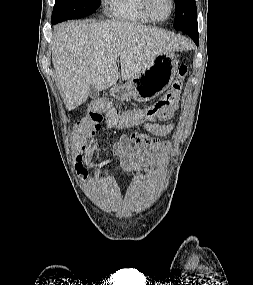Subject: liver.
<instances>
[{
	"instance_id": "liver-1",
	"label": "liver",
	"mask_w": 253,
	"mask_h": 285,
	"mask_svg": "<svg viewBox=\"0 0 253 285\" xmlns=\"http://www.w3.org/2000/svg\"><path fill=\"white\" fill-rule=\"evenodd\" d=\"M52 63L70 111L84 103L92 85L98 91L145 70L157 56L183 50L181 37L124 21H72L54 28Z\"/></svg>"
}]
</instances>
